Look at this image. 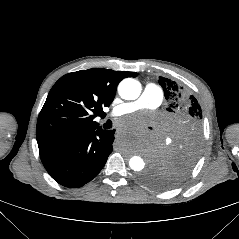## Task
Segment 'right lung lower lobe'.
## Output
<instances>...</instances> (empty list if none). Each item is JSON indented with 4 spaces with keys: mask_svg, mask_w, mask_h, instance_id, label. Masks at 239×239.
Here are the masks:
<instances>
[{
    "mask_svg": "<svg viewBox=\"0 0 239 239\" xmlns=\"http://www.w3.org/2000/svg\"><path fill=\"white\" fill-rule=\"evenodd\" d=\"M115 130L101 127L74 139L39 150L41 161L59 184L77 188L91 181L112 152Z\"/></svg>",
    "mask_w": 239,
    "mask_h": 239,
    "instance_id": "obj_1",
    "label": "right lung lower lobe"
}]
</instances>
